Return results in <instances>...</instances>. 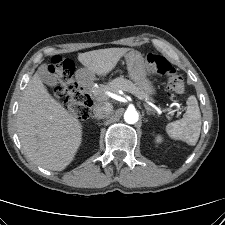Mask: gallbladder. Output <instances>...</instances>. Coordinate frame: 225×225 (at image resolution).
<instances>
[{
    "mask_svg": "<svg viewBox=\"0 0 225 225\" xmlns=\"http://www.w3.org/2000/svg\"><path fill=\"white\" fill-rule=\"evenodd\" d=\"M37 73L45 84L49 86H55L57 84L56 76L48 70V66L46 64L41 65L38 68Z\"/></svg>",
    "mask_w": 225,
    "mask_h": 225,
    "instance_id": "1",
    "label": "gallbladder"
}]
</instances>
